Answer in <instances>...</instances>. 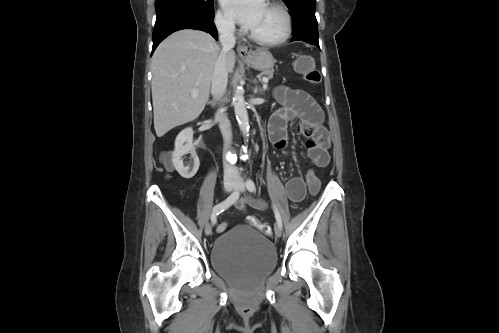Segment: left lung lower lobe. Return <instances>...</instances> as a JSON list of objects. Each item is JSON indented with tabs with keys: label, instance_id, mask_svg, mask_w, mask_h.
Returning <instances> with one entry per match:
<instances>
[{
	"label": "left lung lower lobe",
	"instance_id": "obj_1",
	"mask_svg": "<svg viewBox=\"0 0 499 333\" xmlns=\"http://www.w3.org/2000/svg\"><path fill=\"white\" fill-rule=\"evenodd\" d=\"M293 37L291 41H304L319 47L318 26L315 13L304 12L292 16Z\"/></svg>",
	"mask_w": 499,
	"mask_h": 333
}]
</instances>
